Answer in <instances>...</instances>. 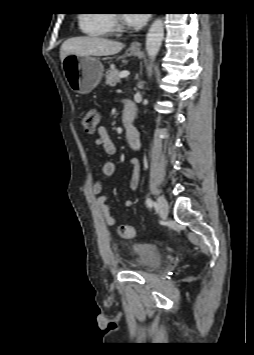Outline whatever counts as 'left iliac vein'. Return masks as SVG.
Here are the masks:
<instances>
[{"mask_svg":"<svg viewBox=\"0 0 254 355\" xmlns=\"http://www.w3.org/2000/svg\"><path fill=\"white\" fill-rule=\"evenodd\" d=\"M157 210L161 217H166L169 213V205L165 197L159 196L157 199Z\"/></svg>","mask_w":254,"mask_h":355,"instance_id":"obj_1","label":"left iliac vein"}]
</instances>
